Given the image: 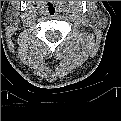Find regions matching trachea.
Listing matches in <instances>:
<instances>
[{
	"instance_id": "1",
	"label": "trachea",
	"mask_w": 121,
	"mask_h": 121,
	"mask_svg": "<svg viewBox=\"0 0 121 121\" xmlns=\"http://www.w3.org/2000/svg\"><path fill=\"white\" fill-rule=\"evenodd\" d=\"M47 12L50 16H54L57 14L58 10L55 5L50 3L47 9Z\"/></svg>"
}]
</instances>
